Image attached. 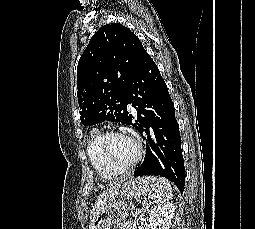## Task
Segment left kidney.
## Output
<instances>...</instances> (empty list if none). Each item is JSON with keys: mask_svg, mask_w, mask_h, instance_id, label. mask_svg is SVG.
<instances>
[{"mask_svg": "<svg viewBox=\"0 0 255 229\" xmlns=\"http://www.w3.org/2000/svg\"><path fill=\"white\" fill-rule=\"evenodd\" d=\"M174 211V204L169 202L152 208L149 213V223L151 229H169Z\"/></svg>", "mask_w": 255, "mask_h": 229, "instance_id": "left-kidney-1", "label": "left kidney"}]
</instances>
